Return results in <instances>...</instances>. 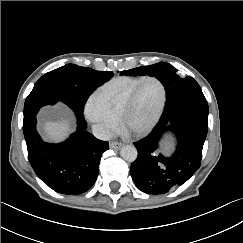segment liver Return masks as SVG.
<instances>
[{
    "instance_id": "liver-1",
    "label": "liver",
    "mask_w": 243,
    "mask_h": 243,
    "mask_svg": "<svg viewBox=\"0 0 243 243\" xmlns=\"http://www.w3.org/2000/svg\"><path fill=\"white\" fill-rule=\"evenodd\" d=\"M45 139L49 141H61L73 129L72 121L66 115H61L55 121H45L43 126Z\"/></svg>"
}]
</instances>
